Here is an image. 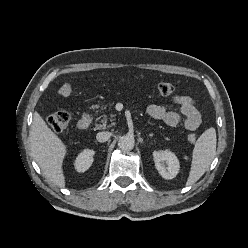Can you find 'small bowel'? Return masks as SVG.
Returning <instances> with one entry per match:
<instances>
[{"instance_id":"obj_1","label":"small bowel","mask_w":248,"mask_h":248,"mask_svg":"<svg viewBox=\"0 0 248 248\" xmlns=\"http://www.w3.org/2000/svg\"><path fill=\"white\" fill-rule=\"evenodd\" d=\"M172 104L178 106L179 111L171 110L166 106L150 105L147 114L166 125L175 127L183 125L187 130H196L201 124V115L195 100L187 95H175L171 98Z\"/></svg>"}]
</instances>
